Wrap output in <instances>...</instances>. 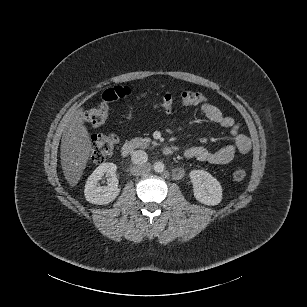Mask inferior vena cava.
<instances>
[{
  "mask_svg": "<svg viewBox=\"0 0 307 307\" xmlns=\"http://www.w3.org/2000/svg\"><path fill=\"white\" fill-rule=\"evenodd\" d=\"M131 159L135 164H144L148 161V155L143 150H137L132 154Z\"/></svg>",
  "mask_w": 307,
  "mask_h": 307,
  "instance_id": "inferior-vena-cava-1",
  "label": "inferior vena cava"
}]
</instances>
